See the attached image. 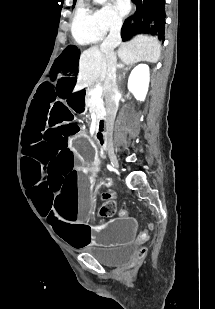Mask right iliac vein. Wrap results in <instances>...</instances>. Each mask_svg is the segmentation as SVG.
I'll return each mask as SVG.
<instances>
[{"label": "right iliac vein", "mask_w": 215, "mask_h": 309, "mask_svg": "<svg viewBox=\"0 0 215 309\" xmlns=\"http://www.w3.org/2000/svg\"><path fill=\"white\" fill-rule=\"evenodd\" d=\"M110 161H111V164L113 165V167H115V168H118V160H117V158L115 157V156H113V155H111L110 156Z\"/></svg>", "instance_id": "63e3f726"}]
</instances>
